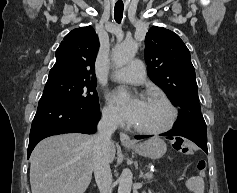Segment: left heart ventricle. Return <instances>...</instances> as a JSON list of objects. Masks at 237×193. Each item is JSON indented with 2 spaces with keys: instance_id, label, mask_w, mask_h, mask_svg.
<instances>
[{
  "instance_id": "b2bd125f",
  "label": "left heart ventricle",
  "mask_w": 237,
  "mask_h": 193,
  "mask_svg": "<svg viewBox=\"0 0 237 193\" xmlns=\"http://www.w3.org/2000/svg\"><path fill=\"white\" fill-rule=\"evenodd\" d=\"M169 118L167 107L157 100H145L133 123L142 128L155 129L164 126Z\"/></svg>"
}]
</instances>
